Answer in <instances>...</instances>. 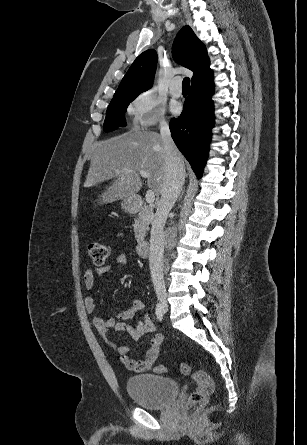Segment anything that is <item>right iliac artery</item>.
I'll use <instances>...</instances> for the list:
<instances>
[{
  "label": "right iliac artery",
  "mask_w": 307,
  "mask_h": 445,
  "mask_svg": "<svg viewBox=\"0 0 307 445\" xmlns=\"http://www.w3.org/2000/svg\"><path fill=\"white\" fill-rule=\"evenodd\" d=\"M155 313H156L157 319H158L159 321H162L164 310H163V307H162V305H161L160 303H158V304L156 305V311H155Z\"/></svg>",
  "instance_id": "82829eb1"
}]
</instances>
